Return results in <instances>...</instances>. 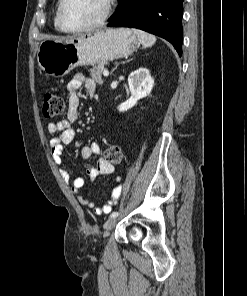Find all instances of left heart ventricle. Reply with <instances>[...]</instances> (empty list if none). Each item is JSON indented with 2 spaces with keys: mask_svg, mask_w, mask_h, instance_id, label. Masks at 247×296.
I'll list each match as a JSON object with an SVG mask.
<instances>
[{
  "mask_svg": "<svg viewBox=\"0 0 247 296\" xmlns=\"http://www.w3.org/2000/svg\"><path fill=\"white\" fill-rule=\"evenodd\" d=\"M104 0H67L63 18L70 28H81L96 22L103 14Z\"/></svg>",
  "mask_w": 247,
  "mask_h": 296,
  "instance_id": "b2bd125f",
  "label": "left heart ventricle"
}]
</instances>
